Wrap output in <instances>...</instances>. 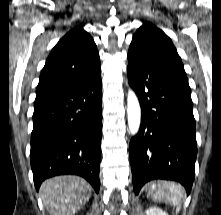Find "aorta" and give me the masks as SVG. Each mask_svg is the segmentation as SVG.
<instances>
[{"instance_id": "1", "label": "aorta", "mask_w": 221, "mask_h": 215, "mask_svg": "<svg viewBox=\"0 0 221 215\" xmlns=\"http://www.w3.org/2000/svg\"><path fill=\"white\" fill-rule=\"evenodd\" d=\"M128 126L131 134H136L140 127L141 109L135 93L129 89L127 98Z\"/></svg>"}]
</instances>
